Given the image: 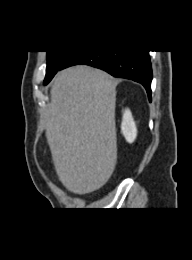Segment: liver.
Wrapping results in <instances>:
<instances>
[{
  "mask_svg": "<svg viewBox=\"0 0 192 260\" xmlns=\"http://www.w3.org/2000/svg\"><path fill=\"white\" fill-rule=\"evenodd\" d=\"M116 84L106 72L83 65L54 78L46 138L59 180L75 194L99 189L114 171Z\"/></svg>",
  "mask_w": 192,
  "mask_h": 260,
  "instance_id": "1",
  "label": "liver"
}]
</instances>
